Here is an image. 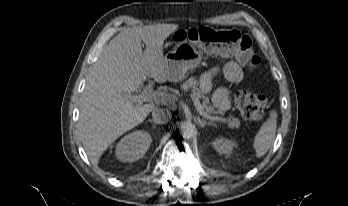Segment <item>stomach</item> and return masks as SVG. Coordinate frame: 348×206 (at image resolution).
I'll return each mask as SVG.
<instances>
[{
  "label": "stomach",
  "mask_w": 348,
  "mask_h": 206,
  "mask_svg": "<svg viewBox=\"0 0 348 206\" xmlns=\"http://www.w3.org/2000/svg\"><path fill=\"white\" fill-rule=\"evenodd\" d=\"M203 52L196 48L195 43L186 37L177 39L175 47L164 57L165 70L170 74L171 81L182 80L189 70L201 64Z\"/></svg>",
  "instance_id": "stomach-1"
}]
</instances>
